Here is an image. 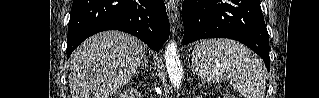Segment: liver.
I'll list each match as a JSON object with an SVG mask.
<instances>
[{
  "instance_id": "1",
  "label": "liver",
  "mask_w": 319,
  "mask_h": 98,
  "mask_svg": "<svg viewBox=\"0 0 319 98\" xmlns=\"http://www.w3.org/2000/svg\"><path fill=\"white\" fill-rule=\"evenodd\" d=\"M145 44L134 36L105 31L85 40L70 56L72 98H109L136 73Z\"/></svg>"
}]
</instances>
